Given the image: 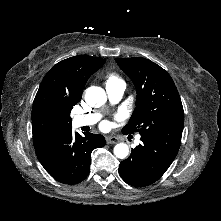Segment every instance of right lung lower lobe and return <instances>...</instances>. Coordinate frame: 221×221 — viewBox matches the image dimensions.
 <instances>
[{"label": "right lung lower lobe", "instance_id": "right-lung-lower-lobe-1", "mask_svg": "<svg viewBox=\"0 0 221 221\" xmlns=\"http://www.w3.org/2000/svg\"><path fill=\"white\" fill-rule=\"evenodd\" d=\"M105 146L100 134L67 133L61 139L36 151V155L45 170L63 184H76L89 174L91 152Z\"/></svg>", "mask_w": 221, "mask_h": 221}]
</instances>
